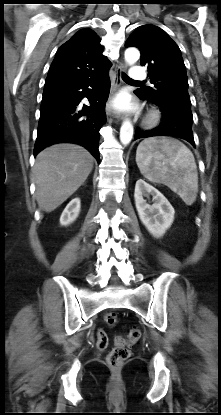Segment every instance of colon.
<instances>
[{"mask_svg": "<svg viewBox=\"0 0 221 415\" xmlns=\"http://www.w3.org/2000/svg\"><path fill=\"white\" fill-rule=\"evenodd\" d=\"M104 320L108 325L113 326L116 323L117 316L115 313L109 312L104 315ZM141 336L142 332L137 327L131 329L126 337L116 336L114 338V348L107 357L108 364L113 368L121 366L130 357L129 347L137 343ZM107 344L108 338L106 333L101 329L98 330L96 341L97 348L104 350L107 347Z\"/></svg>", "mask_w": 221, "mask_h": 415, "instance_id": "obj_1", "label": "colon"}]
</instances>
